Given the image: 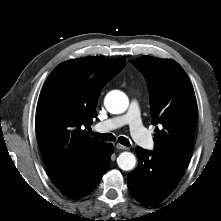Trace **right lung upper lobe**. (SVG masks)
Wrapping results in <instances>:
<instances>
[{
  "instance_id": "obj_1",
  "label": "right lung upper lobe",
  "mask_w": 221,
  "mask_h": 221,
  "mask_svg": "<svg viewBox=\"0 0 221 221\" xmlns=\"http://www.w3.org/2000/svg\"><path fill=\"white\" fill-rule=\"evenodd\" d=\"M125 66V57H85L64 62L47 78L36 108V135L53 177L100 160L107 143L83 129L96 117L102 87Z\"/></svg>"
}]
</instances>
